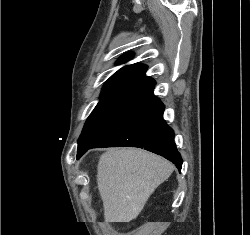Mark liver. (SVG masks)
Segmentation results:
<instances>
[{"label":"liver","mask_w":250,"mask_h":235,"mask_svg":"<svg viewBox=\"0 0 250 235\" xmlns=\"http://www.w3.org/2000/svg\"><path fill=\"white\" fill-rule=\"evenodd\" d=\"M174 170L164 158L136 148L110 149L98 162L97 184L107 222H130Z\"/></svg>","instance_id":"6515ba94"}]
</instances>
